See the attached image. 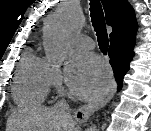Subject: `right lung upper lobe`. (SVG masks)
Masks as SVG:
<instances>
[{
	"instance_id": "1",
	"label": "right lung upper lobe",
	"mask_w": 151,
	"mask_h": 131,
	"mask_svg": "<svg viewBox=\"0 0 151 131\" xmlns=\"http://www.w3.org/2000/svg\"><path fill=\"white\" fill-rule=\"evenodd\" d=\"M106 22L113 28L110 44L135 42L137 23L133 8L127 0H102Z\"/></svg>"
}]
</instances>
